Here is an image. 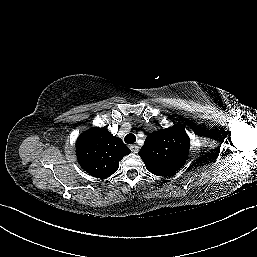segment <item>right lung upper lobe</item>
Instances as JSON below:
<instances>
[{
    "instance_id": "obj_1",
    "label": "right lung upper lobe",
    "mask_w": 257,
    "mask_h": 257,
    "mask_svg": "<svg viewBox=\"0 0 257 257\" xmlns=\"http://www.w3.org/2000/svg\"><path fill=\"white\" fill-rule=\"evenodd\" d=\"M130 152L120 138L99 127L82 133L76 142L79 164L87 173L97 178H107L114 174L119 167V161Z\"/></svg>"
}]
</instances>
